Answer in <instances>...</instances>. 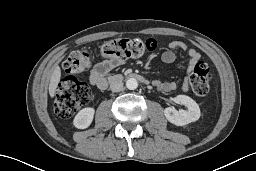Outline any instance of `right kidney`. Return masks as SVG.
Listing matches in <instances>:
<instances>
[{
	"label": "right kidney",
	"instance_id": "1",
	"mask_svg": "<svg viewBox=\"0 0 256 171\" xmlns=\"http://www.w3.org/2000/svg\"><path fill=\"white\" fill-rule=\"evenodd\" d=\"M95 109L86 107L80 110L74 118L73 124L78 129H86L90 126L94 118Z\"/></svg>",
	"mask_w": 256,
	"mask_h": 171
}]
</instances>
